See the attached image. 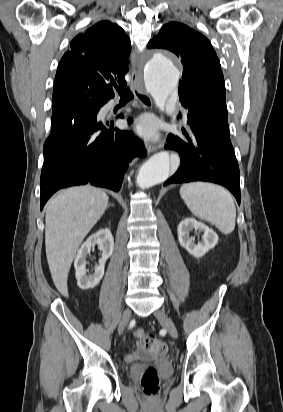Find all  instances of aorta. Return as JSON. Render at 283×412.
<instances>
[{
	"instance_id": "aorta-1",
	"label": "aorta",
	"mask_w": 283,
	"mask_h": 412,
	"mask_svg": "<svg viewBox=\"0 0 283 412\" xmlns=\"http://www.w3.org/2000/svg\"><path fill=\"white\" fill-rule=\"evenodd\" d=\"M180 73L162 51H156L144 67V81L156 106L165 111L170 96L176 91ZM170 175V156L167 152L153 155L140 169L137 183L142 189L164 182Z\"/></svg>"
}]
</instances>
